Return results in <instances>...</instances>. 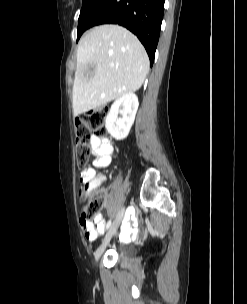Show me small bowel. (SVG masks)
Segmentation results:
<instances>
[{
	"instance_id": "1",
	"label": "small bowel",
	"mask_w": 247,
	"mask_h": 304,
	"mask_svg": "<svg viewBox=\"0 0 247 304\" xmlns=\"http://www.w3.org/2000/svg\"><path fill=\"white\" fill-rule=\"evenodd\" d=\"M90 149L94 155L92 165L81 171L79 179L82 183L89 184L91 188L103 181L104 176L99 172V169L107 167L111 162L113 152V144L104 137L96 135L90 138ZM81 229L89 241H94L100 234L105 231V221L102 214H98L91 223L81 221ZM139 236V231L136 225L129 224L124 227L120 234V239L123 241L136 240Z\"/></svg>"
}]
</instances>
